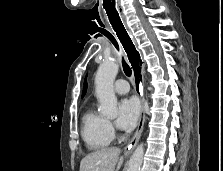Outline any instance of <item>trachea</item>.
<instances>
[{
  "mask_svg": "<svg viewBox=\"0 0 223 171\" xmlns=\"http://www.w3.org/2000/svg\"><path fill=\"white\" fill-rule=\"evenodd\" d=\"M108 39L112 42V44L116 47V49L119 50V45H118L116 39L114 37H108ZM122 66H123L124 73L128 77H130L131 74H132V70H131V68L129 67V65L126 63V61L124 59H122Z\"/></svg>",
  "mask_w": 223,
  "mask_h": 171,
  "instance_id": "1",
  "label": "trachea"
}]
</instances>
